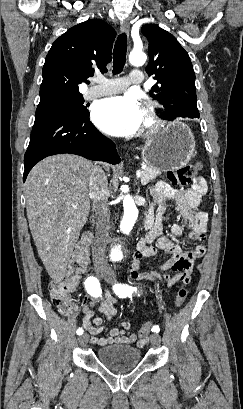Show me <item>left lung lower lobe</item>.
<instances>
[{
	"label": "left lung lower lobe",
	"mask_w": 243,
	"mask_h": 409,
	"mask_svg": "<svg viewBox=\"0 0 243 409\" xmlns=\"http://www.w3.org/2000/svg\"><path fill=\"white\" fill-rule=\"evenodd\" d=\"M173 117L170 119V120H173L174 118H176V117H190V118H199V114H194V115H192V114H187V113H184V114H173L172 115ZM167 120H169V119H167Z\"/></svg>",
	"instance_id": "obj_1"
}]
</instances>
